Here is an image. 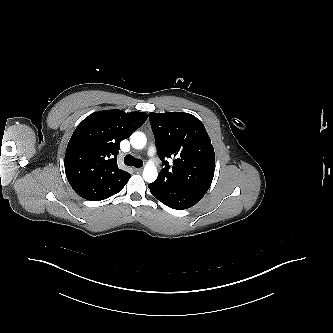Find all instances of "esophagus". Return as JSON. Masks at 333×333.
I'll use <instances>...</instances> for the list:
<instances>
[{"label":"esophagus","instance_id":"34e87169","mask_svg":"<svg viewBox=\"0 0 333 333\" xmlns=\"http://www.w3.org/2000/svg\"><path fill=\"white\" fill-rule=\"evenodd\" d=\"M134 171L140 173L142 171V168H135Z\"/></svg>","mask_w":333,"mask_h":333}]
</instances>
